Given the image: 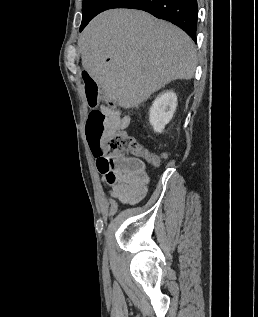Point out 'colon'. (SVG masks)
I'll use <instances>...</instances> for the list:
<instances>
[{
	"mask_svg": "<svg viewBox=\"0 0 258 317\" xmlns=\"http://www.w3.org/2000/svg\"><path fill=\"white\" fill-rule=\"evenodd\" d=\"M86 100L91 108L85 125L88 145L94 153H106L112 157H140L149 164L157 165L163 155L146 150L133 136L123 130L112 131L108 115L98 108L100 91L97 83L89 76H83Z\"/></svg>",
	"mask_w": 258,
	"mask_h": 317,
	"instance_id": "obj_1",
	"label": "colon"
}]
</instances>
